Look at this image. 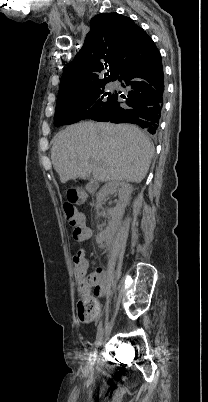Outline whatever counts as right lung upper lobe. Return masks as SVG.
Returning <instances> with one entry per match:
<instances>
[{
	"label": "right lung upper lobe",
	"mask_w": 208,
	"mask_h": 402,
	"mask_svg": "<svg viewBox=\"0 0 208 402\" xmlns=\"http://www.w3.org/2000/svg\"><path fill=\"white\" fill-rule=\"evenodd\" d=\"M145 33L131 18L121 14L94 16L82 49L62 74L59 93L101 80L98 74L107 67L110 75L106 73L104 79L116 80L124 60Z\"/></svg>",
	"instance_id": "1"
}]
</instances>
